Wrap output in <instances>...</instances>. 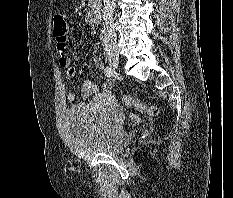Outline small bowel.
<instances>
[{"instance_id":"1","label":"small bowel","mask_w":233,"mask_h":198,"mask_svg":"<svg viewBox=\"0 0 233 198\" xmlns=\"http://www.w3.org/2000/svg\"><path fill=\"white\" fill-rule=\"evenodd\" d=\"M55 40L56 50L58 53V63L65 70L66 75L73 78L76 75V69L72 65L71 58L66 53L67 37L62 40L55 38ZM92 61L97 69H104L103 61L99 56L95 55ZM112 88L113 81L107 76L102 82L100 88H98L92 81L85 80L83 82L81 96L83 99H91L88 102L81 101L75 104L73 109L80 112H95L103 105L114 102L115 98ZM66 98L68 101L73 102L76 99V94L74 92H68Z\"/></svg>"}]
</instances>
